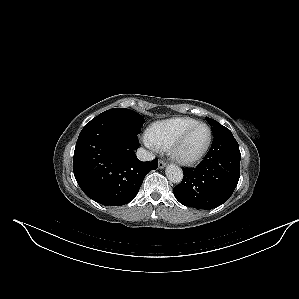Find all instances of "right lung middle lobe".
<instances>
[{
    "instance_id": "obj_1",
    "label": "right lung middle lobe",
    "mask_w": 299,
    "mask_h": 299,
    "mask_svg": "<svg viewBox=\"0 0 299 299\" xmlns=\"http://www.w3.org/2000/svg\"><path fill=\"white\" fill-rule=\"evenodd\" d=\"M98 117L115 119L129 127L136 134H139L140 129L145 122L144 118L140 114L126 108L109 109L99 114Z\"/></svg>"
}]
</instances>
